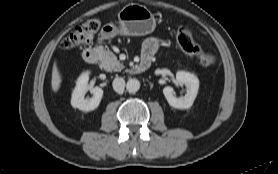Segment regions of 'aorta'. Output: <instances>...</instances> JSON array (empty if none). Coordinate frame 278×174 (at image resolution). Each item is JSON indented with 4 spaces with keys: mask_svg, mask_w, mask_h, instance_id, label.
Wrapping results in <instances>:
<instances>
[{
    "mask_svg": "<svg viewBox=\"0 0 278 174\" xmlns=\"http://www.w3.org/2000/svg\"><path fill=\"white\" fill-rule=\"evenodd\" d=\"M140 88V82L137 79H129L126 84V89L130 93H135Z\"/></svg>",
    "mask_w": 278,
    "mask_h": 174,
    "instance_id": "aorta-1",
    "label": "aorta"
}]
</instances>
